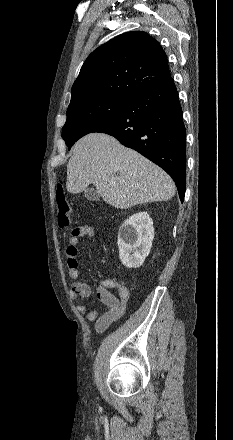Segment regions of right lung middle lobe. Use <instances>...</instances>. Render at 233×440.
<instances>
[{
  "instance_id": "dd1d6c3e",
  "label": "right lung middle lobe",
  "mask_w": 233,
  "mask_h": 440,
  "mask_svg": "<svg viewBox=\"0 0 233 440\" xmlns=\"http://www.w3.org/2000/svg\"><path fill=\"white\" fill-rule=\"evenodd\" d=\"M129 99L94 97L74 102L67 109V121L62 138L68 149L84 135L113 120L127 105Z\"/></svg>"
}]
</instances>
